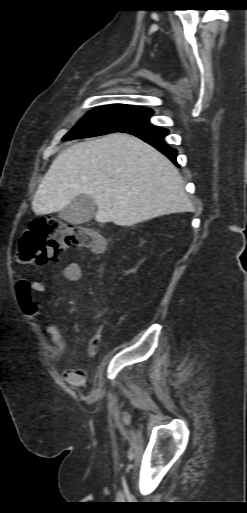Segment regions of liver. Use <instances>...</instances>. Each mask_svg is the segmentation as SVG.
I'll return each instance as SVG.
<instances>
[{"label":"liver","instance_id":"liver-1","mask_svg":"<svg viewBox=\"0 0 247 513\" xmlns=\"http://www.w3.org/2000/svg\"><path fill=\"white\" fill-rule=\"evenodd\" d=\"M80 194L94 199L97 222L119 226L193 210L176 167L125 133L79 142L59 154L38 186L32 209L36 215L60 212Z\"/></svg>","mask_w":247,"mask_h":513}]
</instances>
